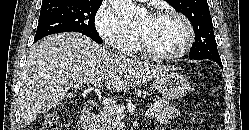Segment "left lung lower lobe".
I'll return each mask as SVG.
<instances>
[{
    "instance_id": "obj_1",
    "label": "left lung lower lobe",
    "mask_w": 249,
    "mask_h": 130,
    "mask_svg": "<svg viewBox=\"0 0 249 130\" xmlns=\"http://www.w3.org/2000/svg\"><path fill=\"white\" fill-rule=\"evenodd\" d=\"M189 58H190V57H189ZM190 59H193V60H200L201 58H190ZM210 60H213L214 62L218 63L219 66H221V68L223 69V65H222V62H221V59H220V58L210 59Z\"/></svg>"
}]
</instances>
